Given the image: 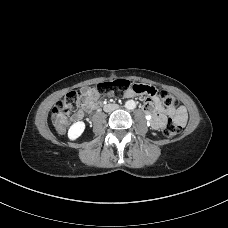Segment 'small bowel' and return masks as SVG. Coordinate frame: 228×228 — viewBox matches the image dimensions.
<instances>
[{
	"mask_svg": "<svg viewBox=\"0 0 228 228\" xmlns=\"http://www.w3.org/2000/svg\"><path fill=\"white\" fill-rule=\"evenodd\" d=\"M86 96L79 103V110L76 113V118L81 120L84 117L85 112H93L97 109L99 103V92L92 87L84 88ZM126 98H132L135 96V92L132 89H127L124 92ZM154 113L152 112V109ZM145 112L152 115L151 125L154 129L159 130L164 126L165 118L163 115L164 109L158 97L154 96L149 99L144 108ZM179 125H184L187 121V111L185 107L180 106L170 111Z\"/></svg>",
	"mask_w": 228,
	"mask_h": 228,
	"instance_id": "obj_1",
	"label": "small bowel"
}]
</instances>
